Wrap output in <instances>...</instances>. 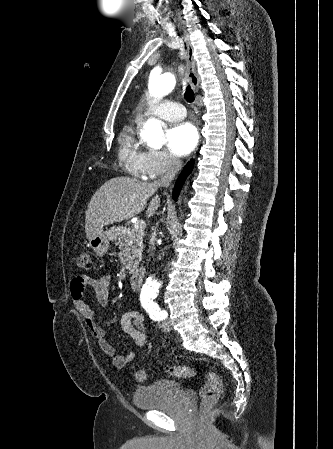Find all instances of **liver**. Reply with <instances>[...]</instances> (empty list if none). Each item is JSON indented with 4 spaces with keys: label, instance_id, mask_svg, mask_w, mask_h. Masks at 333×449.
Here are the masks:
<instances>
[{
    "label": "liver",
    "instance_id": "liver-1",
    "mask_svg": "<svg viewBox=\"0 0 333 449\" xmlns=\"http://www.w3.org/2000/svg\"><path fill=\"white\" fill-rule=\"evenodd\" d=\"M159 186L157 183H144L127 177L106 181L88 204L85 219L87 238L90 240L106 225L140 214ZM159 205L160 197L155 195L147 208V217L152 216Z\"/></svg>",
    "mask_w": 333,
    "mask_h": 449
}]
</instances>
